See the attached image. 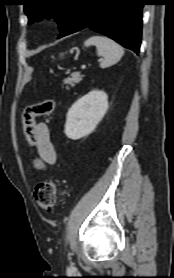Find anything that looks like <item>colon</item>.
I'll return each instance as SVG.
<instances>
[{
    "instance_id": "colon-1",
    "label": "colon",
    "mask_w": 174,
    "mask_h": 278,
    "mask_svg": "<svg viewBox=\"0 0 174 278\" xmlns=\"http://www.w3.org/2000/svg\"><path fill=\"white\" fill-rule=\"evenodd\" d=\"M55 108V102L51 99L42 100L27 106L22 115L23 128L26 142L30 147H37V133L35 119L50 115ZM34 196L38 205L52 211L56 206L57 187L53 181L39 183L34 190Z\"/></svg>"
}]
</instances>
